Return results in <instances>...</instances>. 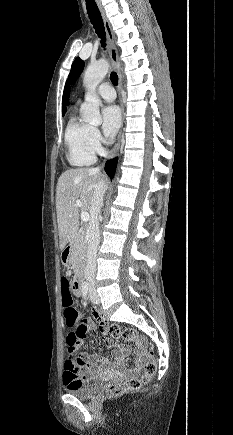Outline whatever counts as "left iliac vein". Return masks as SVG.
<instances>
[{
    "instance_id": "obj_1",
    "label": "left iliac vein",
    "mask_w": 233,
    "mask_h": 435,
    "mask_svg": "<svg viewBox=\"0 0 233 435\" xmlns=\"http://www.w3.org/2000/svg\"><path fill=\"white\" fill-rule=\"evenodd\" d=\"M90 300L92 303L98 304L100 299L98 294L95 292V289L93 286L90 287Z\"/></svg>"
}]
</instances>
